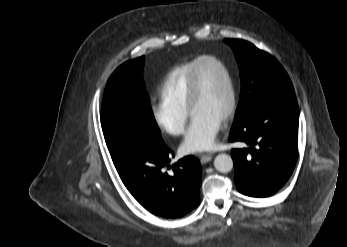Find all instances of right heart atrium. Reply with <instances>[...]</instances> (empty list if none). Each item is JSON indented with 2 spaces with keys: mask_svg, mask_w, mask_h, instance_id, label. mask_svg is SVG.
I'll list each match as a JSON object with an SVG mask.
<instances>
[{
  "mask_svg": "<svg viewBox=\"0 0 347 247\" xmlns=\"http://www.w3.org/2000/svg\"><path fill=\"white\" fill-rule=\"evenodd\" d=\"M151 115L155 125L170 136L181 135L186 127L188 111L172 106L162 100L151 104Z\"/></svg>",
  "mask_w": 347,
  "mask_h": 247,
  "instance_id": "d8ad5b80",
  "label": "right heart atrium"
}]
</instances>
